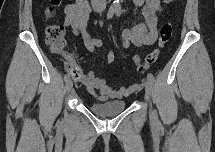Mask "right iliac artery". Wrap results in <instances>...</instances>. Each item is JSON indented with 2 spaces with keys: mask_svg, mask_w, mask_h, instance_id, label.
<instances>
[{
  "mask_svg": "<svg viewBox=\"0 0 215 152\" xmlns=\"http://www.w3.org/2000/svg\"><path fill=\"white\" fill-rule=\"evenodd\" d=\"M114 12H115V9L110 8V9L108 10V13H107V19L112 18V16L114 15ZM68 80H69V74H66V75L64 76V81L67 82Z\"/></svg>",
  "mask_w": 215,
  "mask_h": 152,
  "instance_id": "82829eb1",
  "label": "right iliac artery"
}]
</instances>
